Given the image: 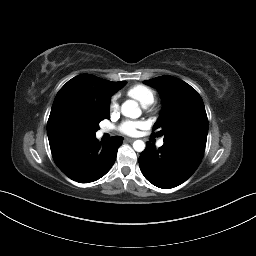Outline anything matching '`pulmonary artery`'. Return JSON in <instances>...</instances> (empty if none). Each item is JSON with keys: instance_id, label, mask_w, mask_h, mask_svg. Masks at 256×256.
<instances>
[{"instance_id": "1", "label": "pulmonary artery", "mask_w": 256, "mask_h": 256, "mask_svg": "<svg viewBox=\"0 0 256 256\" xmlns=\"http://www.w3.org/2000/svg\"><path fill=\"white\" fill-rule=\"evenodd\" d=\"M107 131H108V129H102V130H101L102 133H103V132H107ZM157 145H158L159 147L163 146V145H164V141H163V140H159L158 143H157Z\"/></svg>"}]
</instances>
